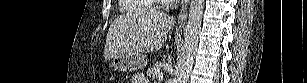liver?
I'll use <instances>...</instances> for the list:
<instances>
[{"instance_id":"liver-1","label":"liver","mask_w":307,"mask_h":83,"mask_svg":"<svg viewBox=\"0 0 307 83\" xmlns=\"http://www.w3.org/2000/svg\"><path fill=\"white\" fill-rule=\"evenodd\" d=\"M173 23V17L153 10L120 16L109 28L104 59L159 50Z\"/></svg>"}]
</instances>
